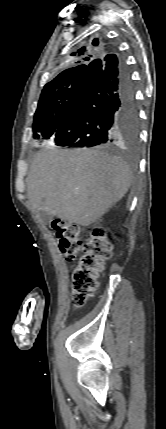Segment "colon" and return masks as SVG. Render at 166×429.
Returning <instances> with one entry per match:
<instances>
[{
	"mask_svg": "<svg viewBox=\"0 0 166 429\" xmlns=\"http://www.w3.org/2000/svg\"><path fill=\"white\" fill-rule=\"evenodd\" d=\"M58 247L69 260L83 251L72 273L71 302L76 307L83 306L93 296L97 288V278L105 262L111 257L112 244L102 227H94L91 237L83 245L80 231L72 222L55 220L53 222Z\"/></svg>",
	"mask_w": 166,
	"mask_h": 429,
	"instance_id": "1",
	"label": "colon"
}]
</instances>
